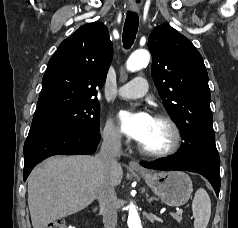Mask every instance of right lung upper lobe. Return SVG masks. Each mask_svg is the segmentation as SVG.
<instances>
[{
    "instance_id": "cb5924a9",
    "label": "right lung upper lobe",
    "mask_w": 238,
    "mask_h": 228,
    "mask_svg": "<svg viewBox=\"0 0 238 228\" xmlns=\"http://www.w3.org/2000/svg\"><path fill=\"white\" fill-rule=\"evenodd\" d=\"M112 56L105 25L93 22L81 26L49 60L34 117L97 100V89L105 83Z\"/></svg>"
}]
</instances>
